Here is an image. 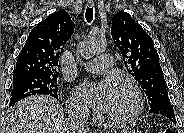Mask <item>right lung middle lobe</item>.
Listing matches in <instances>:
<instances>
[{"label":"right lung middle lobe","mask_w":184,"mask_h":133,"mask_svg":"<svg viewBox=\"0 0 184 133\" xmlns=\"http://www.w3.org/2000/svg\"><path fill=\"white\" fill-rule=\"evenodd\" d=\"M57 76H23L13 78L12 97L9 107L19 100L35 94H45L58 98Z\"/></svg>","instance_id":"1"}]
</instances>
